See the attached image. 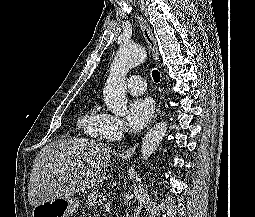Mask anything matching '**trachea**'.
I'll list each match as a JSON object with an SVG mask.
<instances>
[{
	"mask_svg": "<svg viewBox=\"0 0 255 217\" xmlns=\"http://www.w3.org/2000/svg\"><path fill=\"white\" fill-rule=\"evenodd\" d=\"M152 77H153V80L158 83L160 81V73L158 70L154 69L152 71Z\"/></svg>",
	"mask_w": 255,
	"mask_h": 217,
	"instance_id": "obj_1",
	"label": "trachea"
}]
</instances>
